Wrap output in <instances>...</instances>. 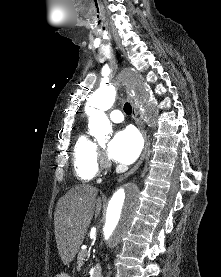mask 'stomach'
I'll return each mask as SVG.
<instances>
[{
	"instance_id": "0dacf381",
	"label": "stomach",
	"mask_w": 221,
	"mask_h": 277,
	"mask_svg": "<svg viewBox=\"0 0 221 277\" xmlns=\"http://www.w3.org/2000/svg\"><path fill=\"white\" fill-rule=\"evenodd\" d=\"M56 277H70V276L66 273H61V274H58Z\"/></svg>"
}]
</instances>
